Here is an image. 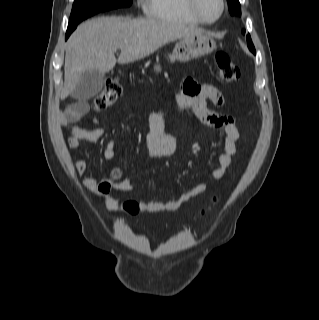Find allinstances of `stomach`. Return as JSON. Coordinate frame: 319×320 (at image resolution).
Masks as SVG:
<instances>
[{"mask_svg":"<svg viewBox=\"0 0 319 320\" xmlns=\"http://www.w3.org/2000/svg\"><path fill=\"white\" fill-rule=\"evenodd\" d=\"M216 49V42L212 36L207 34L193 35L181 38L177 41L172 54L171 61L188 62L192 59L208 55ZM154 71H161L160 65L154 66Z\"/></svg>","mask_w":319,"mask_h":320,"instance_id":"1","label":"stomach"}]
</instances>
